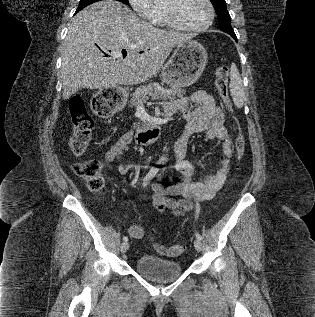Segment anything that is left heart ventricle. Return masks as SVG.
Wrapping results in <instances>:
<instances>
[{"label":"left heart ventricle","mask_w":315,"mask_h":317,"mask_svg":"<svg viewBox=\"0 0 315 317\" xmlns=\"http://www.w3.org/2000/svg\"><path fill=\"white\" fill-rule=\"evenodd\" d=\"M164 7L172 9L182 24L191 27L203 25L209 16L204 0H167Z\"/></svg>","instance_id":"obj_1"}]
</instances>
